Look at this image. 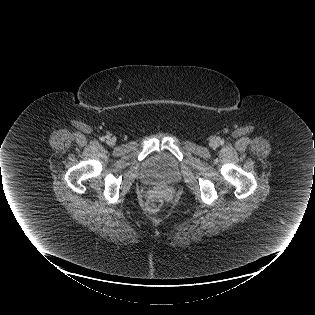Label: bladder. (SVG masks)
<instances>
[{
  "instance_id": "bladder-1",
  "label": "bladder",
  "mask_w": 315,
  "mask_h": 315,
  "mask_svg": "<svg viewBox=\"0 0 315 315\" xmlns=\"http://www.w3.org/2000/svg\"><path fill=\"white\" fill-rule=\"evenodd\" d=\"M179 174L177 163L168 156L157 155L143 168L142 177L147 183H172Z\"/></svg>"
}]
</instances>
